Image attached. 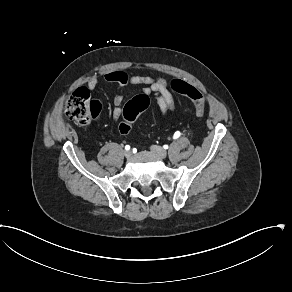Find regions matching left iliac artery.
<instances>
[{"instance_id": "obj_1", "label": "left iliac artery", "mask_w": 292, "mask_h": 292, "mask_svg": "<svg viewBox=\"0 0 292 292\" xmlns=\"http://www.w3.org/2000/svg\"><path fill=\"white\" fill-rule=\"evenodd\" d=\"M180 135H181V133L179 131H177V132L174 133L173 138L177 139V138L180 137Z\"/></svg>"}]
</instances>
